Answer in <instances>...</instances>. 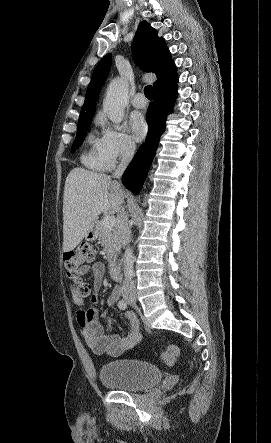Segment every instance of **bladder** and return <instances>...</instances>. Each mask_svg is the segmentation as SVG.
<instances>
[{
  "instance_id": "31cf9c89",
  "label": "bladder",
  "mask_w": 271,
  "mask_h": 443,
  "mask_svg": "<svg viewBox=\"0 0 271 443\" xmlns=\"http://www.w3.org/2000/svg\"><path fill=\"white\" fill-rule=\"evenodd\" d=\"M99 378L106 388L137 391L160 383L162 373L157 366L146 361L117 359L102 365Z\"/></svg>"
}]
</instances>
